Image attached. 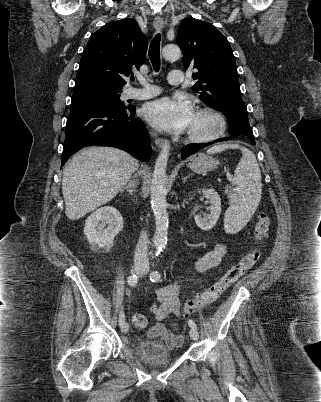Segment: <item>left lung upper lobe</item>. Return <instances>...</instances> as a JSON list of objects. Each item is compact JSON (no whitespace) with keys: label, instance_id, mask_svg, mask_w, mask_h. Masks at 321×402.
I'll return each instance as SVG.
<instances>
[{"label":"left lung upper lobe","instance_id":"1","mask_svg":"<svg viewBox=\"0 0 321 402\" xmlns=\"http://www.w3.org/2000/svg\"><path fill=\"white\" fill-rule=\"evenodd\" d=\"M183 53V67L193 68L192 87L209 107L227 118L238 110L247 115L241 97L235 57L228 40L213 25L194 18L184 19L176 39Z\"/></svg>","mask_w":321,"mask_h":402}]
</instances>
